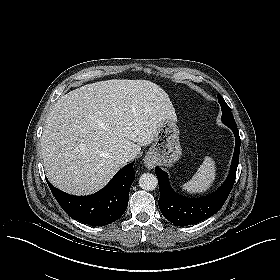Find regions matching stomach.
Wrapping results in <instances>:
<instances>
[{"instance_id":"stomach-1","label":"stomach","mask_w":280,"mask_h":280,"mask_svg":"<svg viewBox=\"0 0 280 280\" xmlns=\"http://www.w3.org/2000/svg\"><path fill=\"white\" fill-rule=\"evenodd\" d=\"M179 133L175 122L164 121L156 131L147 157L152 158L162 166H172L182 155Z\"/></svg>"}]
</instances>
